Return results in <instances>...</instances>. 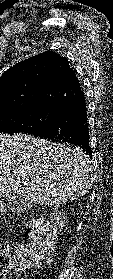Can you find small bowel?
I'll return each instance as SVG.
<instances>
[{
    "label": "small bowel",
    "instance_id": "obj_1",
    "mask_svg": "<svg viewBox=\"0 0 113 279\" xmlns=\"http://www.w3.org/2000/svg\"><path fill=\"white\" fill-rule=\"evenodd\" d=\"M0 279H5V278H4V273H3V272H2L1 275H0Z\"/></svg>",
    "mask_w": 113,
    "mask_h": 279
}]
</instances>
